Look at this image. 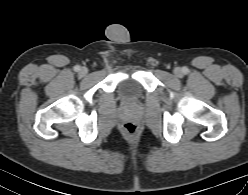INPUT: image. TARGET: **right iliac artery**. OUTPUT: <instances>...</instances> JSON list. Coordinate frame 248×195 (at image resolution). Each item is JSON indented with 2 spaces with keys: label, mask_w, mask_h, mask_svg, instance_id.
<instances>
[{
  "label": "right iliac artery",
  "mask_w": 248,
  "mask_h": 195,
  "mask_svg": "<svg viewBox=\"0 0 248 195\" xmlns=\"http://www.w3.org/2000/svg\"><path fill=\"white\" fill-rule=\"evenodd\" d=\"M74 70H75L76 72L80 71V66H78V65L75 66V67H74Z\"/></svg>",
  "instance_id": "1"
}]
</instances>
